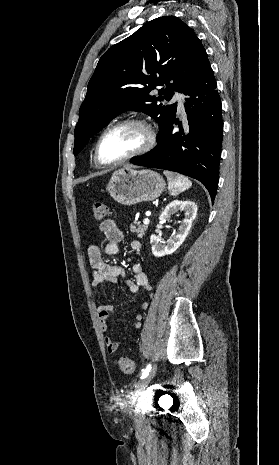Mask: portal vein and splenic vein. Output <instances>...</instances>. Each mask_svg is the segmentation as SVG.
Here are the masks:
<instances>
[{
	"mask_svg": "<svg viewBox=\"0 0 279 465\" xmlns=\"http://www.w3.org/2000/svg\"><path fill=\"white\" fill-rule=\"evenodd\" d=\"M149 222H150V220H149L148 218H145V219L143 220V223H144L145 225H148Z\"/></svg>",
	"mask_w": 279,
	"mask_h": 465,
	"instance_id": "1",
	"label": "portal vein and splenic vein"
}]
</instances>
